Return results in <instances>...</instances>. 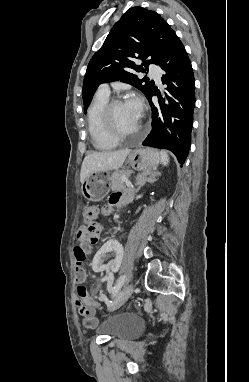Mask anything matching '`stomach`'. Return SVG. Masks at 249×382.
<instances>
[{"instance_id":"1","label":"stomach","mask_w":249,"mask_h":382,"mask_svg":"<svg viewBox=\"0 0 249 382\" xmlns=\"http://www.w3.org/2000/svg\"><path fill=\"white\" fill-rule=\"evenodd\" d=\"M161 162L160 152L153 148H137L129 153L127 163L134 169L151 171ZM109 174L95 172L82 183V194L92 202L101 201L110 191Z\"/></svg>"}]
</instances>
